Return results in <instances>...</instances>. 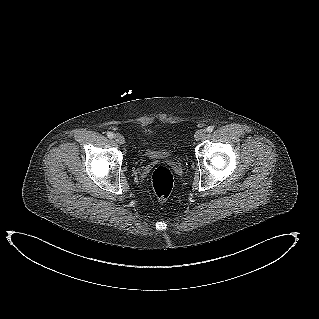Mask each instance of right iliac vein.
I'll return each instance as SVG.
<instances>
[{"label": "right iliac vein", "mask_w": 319, "mask_h": 319, "mask_svg": "<svg viewBox=\"0 0 319 319\" xmlns=\"http://www.w3.org/2000/svg\"><path fill=\"white\" fill-rule=\"evenodd\" d=\"M114 139L120 145L125 143V138L121 134H116Z\"/></svg>", "instance_id": "1"}]
</instances>
